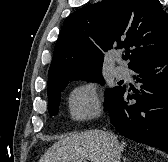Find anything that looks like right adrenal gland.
<instances>
[{"label":"right adrenal gland","instance_id":"right-adrenal-gland-1","mask_svg":"<svg viewBox=\"0 0 168 162\" xmlns=\"http://www.w3.org/2000/svg\"><path fill=\"white\" fill-rule=\"evenodd\" d=\"M126 161H127V160H126V157H124V158H123V162H126Z\"/></svg>","mask_w":168,"mask_h":162}]
</instances>
